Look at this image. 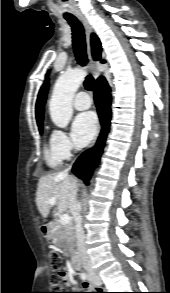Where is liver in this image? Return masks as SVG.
Segmentation results:
<instances>
[{
    "label": "liver",
    "mask_w": 170,
    "mask_h": 293,
    "mask_svg": "<svg viewBox=\"0 0 170 293\" xmlns=\"http://www.w3.org/2000/svg\"><path fill=\"white\" fill-rule=\"evenodd\" d=\"M75 186L77 187L76 178L65 171L42 176L36 192V204L41 215L44 218L48 216L51 209L49 200L53 197L56 198L58 212L64 213L68 209L71 211V191Z\"/></svg>",
    "instance_id": "6515ba94"
}]
</instances>
